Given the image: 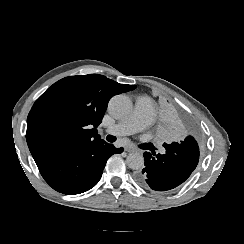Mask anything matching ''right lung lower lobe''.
Masks as SVG:
<instances>
[{
	"label": "right lung lower lobe",
	"instance_id": "obj_1",
	"mask_svg": "<svg viewBox=\"0 0 244 244\" xmlns=\"http://www.w3.org/2000/svg\"><path fill=\"white\" fill-rule=\"evenodd\" d=\"M122 151L123 148L116 149L102 140L41 155L34 160L53 189L64 194H79L94 187L108 158Z\"/></svg>",
	"mask_w": 244,
	"mask_h": 244
}]
</instances>
